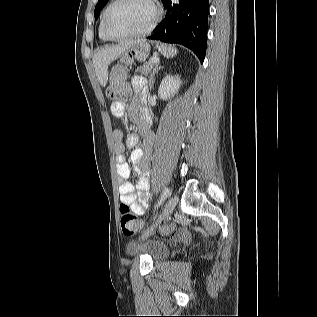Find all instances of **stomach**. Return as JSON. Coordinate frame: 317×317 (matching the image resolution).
<instances>
[{
	"instance_id": "0dacf381",
	"label": "stomach",
	"mask_w": 317,
	"mask_h": 317,
	"mask_svg": "<svg viewBox=\"0 0 317 317\" xmlns=\"http://www.w3.org/2000/svg\"><path fill=\"white\" fill-rule=\"evenodd\" d=\"M150 45L146 42H137L126 50L120 57V63H114L113 68L133 69L134 66H143V62L147 61Z\"/></svg>"
}]
</instances>
